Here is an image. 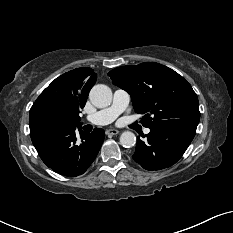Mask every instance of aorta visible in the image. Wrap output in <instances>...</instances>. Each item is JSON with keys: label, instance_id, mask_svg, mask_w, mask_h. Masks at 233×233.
<instances>
[{"label": "aorta", "instance_id": "762f6f07", "mask_svg": "<svg viewBox=\"0 0 233 233\" xmlns=\"http://www.w3.org/2000/svg\"><path fill=\"white\" fill-rule=\"evenodd\" d=\"M89 98L92 104L98 108H104L112 102V91L104 84L93 86ZM120 144L125 148L133 147L136 144V136L130 131H125L120 136Z\"/></svg>", "mask_w": 233, "mask_h": 233}]
</instances>
